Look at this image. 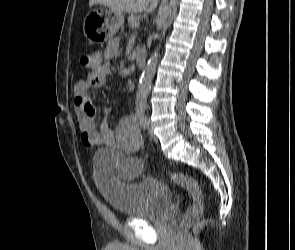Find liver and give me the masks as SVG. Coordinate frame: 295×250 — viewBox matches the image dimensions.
I'll return each instance as SVG.
<instances>
[{"label":"liver","instance_id":"1","mask_svg":"<svg viewBox=\"0 0 295 250\" xmlns=\"http://www.w3.org/2000/svg\"><path fill=\"white\" fill-rule=\"evenodd\" d=\"M159 0H90L89 5L101 4L118 12L139 13L153 12Z\"/></svg>","mask_w":295,"mask_h":250}]
</instances>
